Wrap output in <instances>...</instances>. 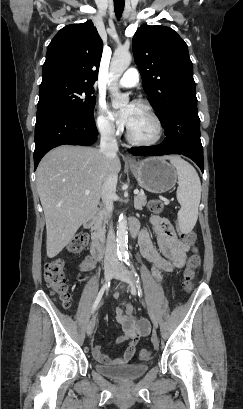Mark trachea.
I'll use <instances>...</instances> for the list:
<instances>
[{"label": "trachea", "instance_id": "1", "mask_svg": "<svg viewBox=\"0 0 243 409\" xmlns=\"http://www.w3.org/2000/svg\"><path fill=\"white\" fill-rule=\"evenodd\" d=\"M114 10H115L116 17L120 19L122 16L123 10H124V1H121V2L114 1Z\"/></svg>", "mask_w": 243, "mask_h": 409}]
</instances>
